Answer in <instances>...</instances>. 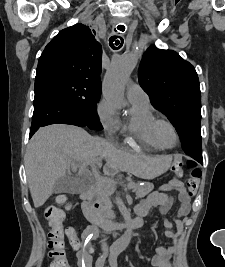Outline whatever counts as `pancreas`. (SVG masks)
Instances as JSON below:
<instances>
[{
  "instance_id": "cf45deb5",
  "label": "pancreas",
  "mask_w": 225,
  "mask_h": 267,
  "mask_svg": "<svg viewBox=\"0 0 225 267\" xmlns=\"http://www.w3.org/2000/svg\"><path fill=\"white\" fill-rule=\"evenodd\" d=\"M153 189H154V185L152 183H146L143 186L139 184H135L133 191L135 192L137 198H143L147 194H149ZM108 190L109 188L107 187L106 184H99L96 187V191L99 194H101V196L105 197L104 199L106 203V206L104 207L105 215H109V210H110V203L108 202V198H107Z\"/></svg>"
}]
</instances>
